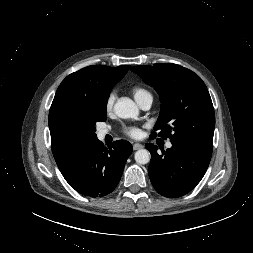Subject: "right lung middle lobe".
<instances>
[{"label": "right lung middle lobe", "mask_w": 253, "mask_h": 253, "mask_svg": "<svg viewBox=\"0 0 253 253\" xmlns=\"http://www.w3.org/2000/svg\"><path fill=\"white\" fill-rule=\"evenodd\" d=\"M106 106L107 103L105 102L95 109L72 118V125L81 132L86 142L97 138L95 125L97 122L106 120Z\"/></svg>", "instance_id": "obj_1"}]
</instances>
